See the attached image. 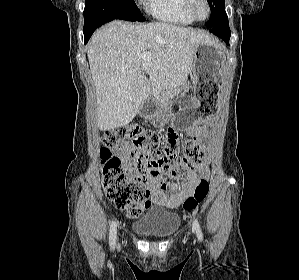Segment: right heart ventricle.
Masks as SVG:
<instances>
[{
  "mask_svg": "<svg viewBox=\"0 0 299 280\" xmlns=\"http://www.w3.org/2000/svg\"><path fill=\"white\" fill-rule=\"evenodd\" d=\"M147 11L156 19L179 25L195 21L185 9V0H145Z\"/></svg>",
  "mask_w": 299,
  "mask_h": 280,
  "instance_id": "e07e8e85",
  "label": "right heart ventricle"
}]
</instances>
